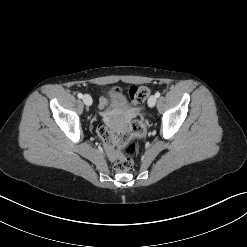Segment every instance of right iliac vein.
<instances>
[{
    "mask_svg": "<svg viewBox=\"0 0 247 247\" xmlns=\"http://www.w3.org/2000/svg\"><path fill=\"white\" fill-rule=\"evenodd\" d=\"M82 99H83V102L85 105H87V106L92 105V98L90 95L85 94Z\"/></svg>",
    "mask_w": 247,
    "mask_h": 247,
    "instance_id": "right-iliac-vein-1",
    "label": "right iliac vein"
}]
</instances>
